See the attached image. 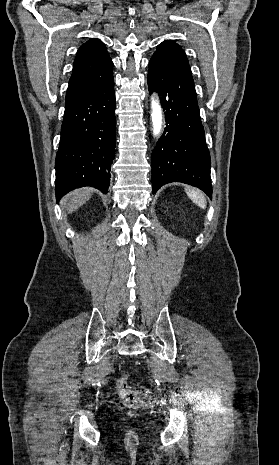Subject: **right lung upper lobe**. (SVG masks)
<instances>
[{
	"label": "right lung upper lobe",
	"mask_w": 279,
	"mask_h": 465,
	"mask_svg": "<svg viewBox=\"0 0 279 465\" xmlns=\"http://www.w3.org/2000/svg\"><path fill=\"white\" fill-rule=\"evenodd\" d=\"M113 63L105 45L92 38L77 51L65 98V108L88 96L112 75Z\"/></svg>",
	"instance_id": "obj_1"
}]
</instances>
